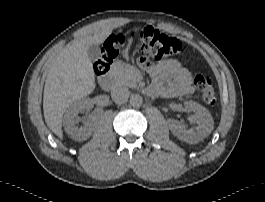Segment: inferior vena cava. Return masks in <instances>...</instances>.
I'll use <instances>...</instances> for the list:
<instances>
[{"mask_svg":"<svg viewBox=\"0 0 265 202\" xmlns=\"http://www.w3.org/2000/svg\"><path fill=\"white\" fill-rule=\"evenodd\" d=\"M129 95L128 88L121 85H115L111 90V97L116 104L126 103Z\"/></svg>","mask_w":265,"mask_h":202,"instance_id":"1","label":"inferior vena cava"}]
</instances>
